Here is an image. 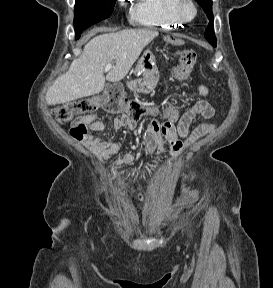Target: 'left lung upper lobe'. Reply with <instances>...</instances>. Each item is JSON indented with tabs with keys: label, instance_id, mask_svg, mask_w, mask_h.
I'll return each mask as SVG.
<instances>
[{
	"label": "left lung upper lobe",
	"instance_id": "left-lung-upper-lobe-1",
	"mask_svg": "<svg viewBox=\"0 0 273 288\" xmlns=\"http://www.w3.org/2000/svg\"><path fill=\"white\" fill-rule=\"evenodd\" d=\"M196 1L203 8L207 17L210 20V23L208 24L205 30V34H204L205 38L208 40L210 44H212L213 46H216V37L214 34V28H213L212 0H196Z\"/></svg>",
	"mask_w": 273,
	"mask_h": 288
}]
</instances>
